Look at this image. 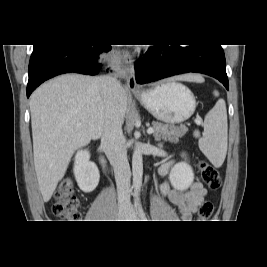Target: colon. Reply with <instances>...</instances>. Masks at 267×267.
<instances>
[{
  "instance_id": "1",
  "label": "colon",
  "mask_w": 267,
  "mask_h": 267,
  "mask_svg": "<svg viewBox=\"0 0 267 267\" xmlns=\"http://www.w3.org/2000/svg\"><path fill=\"white\" fill-rule=\"evenodd\" d=\"M199 170L203 182L211 190H217L220 187L221 177L215 167L201 161L199 162ZM213 211V203L208 200L204 201L198 209V220L200 222H206L211 218ZM52 212L56 217L66 221L78 220L80 218V202L74 194L73 185L70 180H64L60 183L55 193Z\"/></svg>"
}]
</instances>
